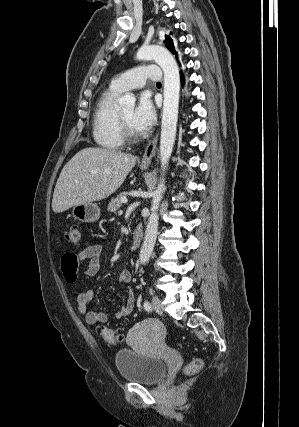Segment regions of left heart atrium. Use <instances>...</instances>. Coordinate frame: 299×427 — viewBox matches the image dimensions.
I'll return each instance as SVG.
<instances>
[{
    "label": "left heart atrium",
    "mask_w": 299,
    "mask_h": 427,
    "mask_svg": "<svg viewBox=\"0 0 299 427\" xmlns=\"http://www.w3.org/2000/svg\"><path fill=\"white\" fill-rule=\"evenodd\" d=\"M156 111L148 96H142L132 115V125L135 130L144 132L155 123Z\"/></svg>",
    "instance_id": "1"
}]
</instances>
